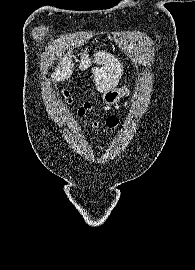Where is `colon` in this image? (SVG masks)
<instances>
[{"mask_svg":"<svg viewBox=\"0 0 195 270\" xmlns=\"http://www.w3.org/2000/svg\"><path fill=\"white\" fill-rule=\"evenodd\" d=\"M65 96H67L66 93H65ZM70 101H71V100L69 99V102H70ZM89 109H90V105H89L88 103H85V104H83L82 106H80V107L78 108V114H79L80 116H82V115H84L86 112H88ZM118 122H119V120H118L117 116L111 115V116H108V117L105 119L103 125H105L108 129H114V128L118 125ZM92 125H93L94 127H99V126H100V123H99V122H93Z\"/></svg>","mask_w":195,"mask_h":270,"instance_id":"1","label":"colon"}]
</instances>
